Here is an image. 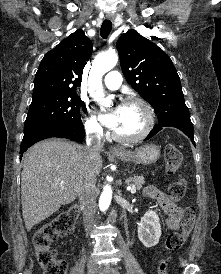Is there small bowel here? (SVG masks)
Listing matches in <instances>:
<instances>
[{
	"label": "small bowel",
	"mask_w": 221,
	"mask_h": 274,
	"mask_svg": "<svg viewBox=\"0 0 221 274\" xmlns=\"http://www.w3.org/2000/svg\"><path fill=\"white\" fill-rule=\"evenodd\" d=\"M145 196L154 199L167 215L165 220V228L167 230H177L183 219L184 210L175 202L171 201L167 194L154 186H148L144 190Z\"/></svg>",
	"instance_id": "obj_1"
}]
</instances>
